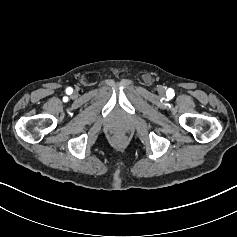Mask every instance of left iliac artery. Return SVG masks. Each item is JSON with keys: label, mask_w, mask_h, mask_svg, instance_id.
Instances as JSON below:
<instances>
[{"label": "left iliac artery", "mask_w": 237, "mask_h": 237, "mask_svg": "<svg viewBox=\"0 0 237 237\" xmlns=\"http://www.w3.org/2000/svg\"><path fill=\"white\" fill-rule=\"evenodd\" d=\"M166 95L168 96V97H173L175 94H174V90L173 89H171V88H169L168 90H167V92H166Z\"/></svg>", "instance_id": "obj_1"}]
</instances>
